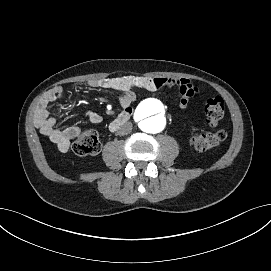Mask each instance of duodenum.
I'll return each mask as SVG.
<instances>
[{
    "label": "duodenum",
    "mask_w": 271,
    "mask_h": 271,
    "mask_svg": "<svg viewBox=\"0 0 271 271\" xmlns=\"http://www.w3.org/2000/svg\"><path fill=\"white\" fill-rule=\"evenodd\" d=\"M131 117V111H125L121 113L115 120L112 121L110 125L111 131H116L119 129L124 123H126Z\"/></svg>",
    "instance_id": "duodenum-1"
}]
</instances>
